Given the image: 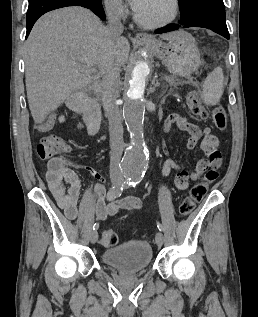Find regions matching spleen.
I'll return each mask as SVG.
<instances>
[{
	"label": "spleen",
	"mask_w": 258,
	"mask_h": 317,
	"mask_svg": "<svg viewBox=\"0 0 258 317\" xmlns=\"http://www.w3.org/2000/svg\"><path fill=\"white\" fill-rule=\"evenodd\" d=\"M224 76L221 66H216L205 78L201 98L205 104H218L224 92Z\"/></svg>",
	"instance_id": "obj_1"
}]
</instances>
